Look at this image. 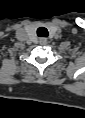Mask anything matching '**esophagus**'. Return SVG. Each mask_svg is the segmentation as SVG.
Segmentation results:
<instances>
[{"label": "esophagus", "mask_w": 85, "mask_h": 118, "mask_svg": "<svg viewBox=\"0 0 85 118\" xmlns=\"http://www.w3.org/2000/svg\"><path fill=\"white\" fill-rule=\"evenodd\" d=\"M39 43H40L41 45H45V44L47 43V39H46V38H40V39H39Z\"/></svg>", "instance_id": "1"}]
</instances>
